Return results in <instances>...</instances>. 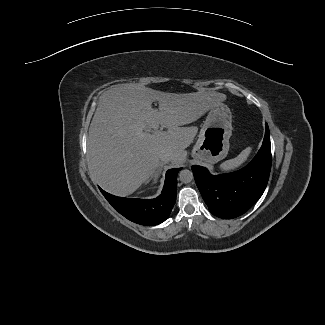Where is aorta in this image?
Segmentation results:
<instances>
[{
    "label": "aorta",
    "instance_id": "762f6f07",
    "mask_svg": "<svg viewBox=\"0 0 325 325\" xmlns=\"http://www.w3.org/2000/svg\"><path fill=\"white\" fill-rule=\"evenodd\" d=\"M179 179L182 183H190L193 180V173L188 169H184L180 171Z\"/></svg>",
    "mask_w": 325,
    "mask_h": 325
}]
</instances>
